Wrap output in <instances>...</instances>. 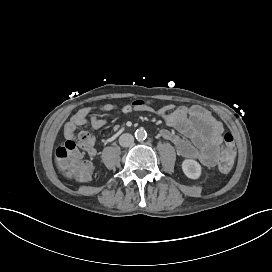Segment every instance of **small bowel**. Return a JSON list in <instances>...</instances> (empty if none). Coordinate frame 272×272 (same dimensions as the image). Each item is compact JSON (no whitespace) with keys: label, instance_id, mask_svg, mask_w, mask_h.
I'll use <instances>...</instances> for the list:
<instances>
[{"label":"small bowel","instance_id":"1","mask_svg":"<svg viewBox=\"0 0 272 272\" xmlns=\"http://www.w3.org/2000/svg\"><path fill=\"white\" fill-rule=\"evenodd\" d=\"M83 109H90L93 112V119L85 125H90L93 130H99L107 124L105 119L97 115L93 107L87 106L79 110ZM116 109L115 103H106L99 108L101 112ZM136 110L153 112L177 130L178 133L164 129L160 136L174 144L180 157L199 160L209 168L216 165V158L208 153V148L222 142L223 125L209 110L200 105L175 107L172 104L164 105L157 110L144 104ZM84 152L91 158L98 156L95 145Z\"/></svg>","mask_w":272,"mask_h":272}]
</instances>
